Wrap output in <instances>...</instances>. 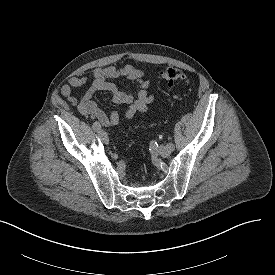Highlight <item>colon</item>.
<instances>
[{
	"label": "colon",
	"instance_id": "colon-1",
	"mask_svg": "<svg viewBox=\"0 0 275 275\" xmlns=\"http://www.w3.org/2000/svg\"><path fill=\"white\" fill-rule=\"evenodd\" d=\"M159 79L167 84L181 83L188 85L190 78L180 69L165 68L159 73Z\"/></svg>",
	"mask_w": 275,
	"mask_h": 275
}]
</instances>
